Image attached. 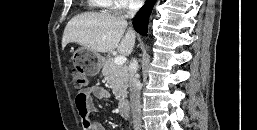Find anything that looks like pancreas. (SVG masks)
Returning <instances> with one entry per match:
<instances>
[{
	"label": "pancreas",
	"mask_w": 257,
	"mask_h": 130,
	"mask_svg": "<svg viewBox=\"0 0 257 130\" xmlns=\"http://www.w3.org/2000/svg\"><path fill=\"white\" fill-rule=\"evenodd\" d=\"M102 75L110 85L115 98L119 101L127 96L128 69L126 65H117L112 58L103 63Z\"/></svg>",
	"instance_id": "1"
}]
</instances>
